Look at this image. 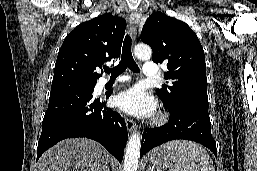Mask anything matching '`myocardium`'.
<instances>
[{
    "instance_id": "obj_1",
    "label": "myocardium",
    "mask_w": 257,
    "mask_h": 171,
    "mask_svg": "<svg viewBox=\"0 0 257 171\" xmlns=\"http://www.w3.org/2000/svg\"><path fill=\"white\" fill-rule=\"evenodd\" d=\"M166 119H167V116L164 114V113H158L157 115H156V117L154 118V123H156V124H161V123H163V122H165L166 121Z\"/></svg>"
}]
</instances>
